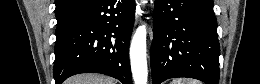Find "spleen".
Wrapping results in <instances>:
<instances>
[{
	"label": "spleen",
	"mask_w": 260,
	"mask_h": 84,
	"mask_svg": "<svg viewBox=\"0 0 260 84\" xmlns=\"http://www.w3.org/2000/svg\"><path fill=\"white\" fill-rule=\"evenodd\" d=\"M170 84H202L200 81L195 79H174Z\"/></svg>",
	"instance_id": "obj_1"
}]
</instances>
